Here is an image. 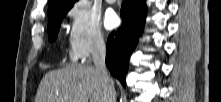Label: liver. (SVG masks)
<instances>
[{"mask_svg":"<svg viewBox=\"0 0 221 102\" xmlns=\"http://www.w3.org/2000/svg\"><path fill=\"white\" fill-rule=\"evenodd\" d=\"M108 98L109 84L102 72L94 66L77 65L47 73L35 102H108Z\"/></svg>","mask_w":221,"mask_h":102,"instance_id":"obj_1","label":"liver"}]
</instances>
